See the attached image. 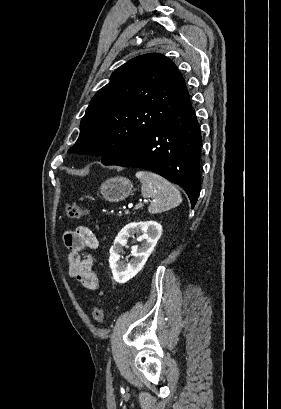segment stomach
I'll use <instances>...</instances> for the list:
<instances>
[{
  "label": "stomach",
  "instance_id": "obj_1",
  "mask_svg": "<svg viewBox=\"0 0 281 409\" xmlns=\"http://www.w3.org/2000/svg\"><path fill=\"white\" fill-rule=\"evenodd\" d=\"M133 188V182L126 176H114V178H108L102 182L99 190L105 200L119 202V200H125L129 194H132Z\"/></svg>",
  "mask_w": 281,
  "mask_h": 409
}]
</instances>
